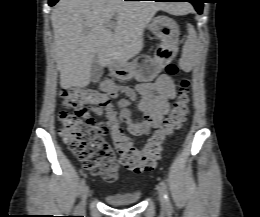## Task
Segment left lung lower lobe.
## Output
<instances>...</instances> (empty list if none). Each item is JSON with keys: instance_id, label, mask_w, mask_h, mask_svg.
<instances>
[{"instance_id": "0a47b994", "label": "left lung lower lobe", "mask_w": 260, "mask_h": 217, "mask_svg": "<svg viewBox=\"0 0 260 217\" xmlns=\"http://www.w3.org/2000/svg\"><path fill=\"white\" fill-rule=\"evenodd\" d=\"M154 1H170V2H190L194 5L196 11L201 14L202 13V9H203V0H154Z\"/></svg>"}]
</instances>
